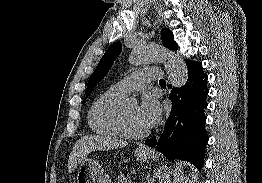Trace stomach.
<instances>
[{
	"instance_id": "0dacf381",
	"label": "stomach",
	"mask_w": 262,
	"mask_h": 183,
	"mask_svg": "<svg viewBox=\"0 0 262 183\" xmlns=\"http://www.w3.org/2000/svg\"><path fill=\"white\" fill-rule=\"evenodd\" d=\"M135 155L141 162L151 158V152L144 149L136 150ZM75 183H111V179L95 160L86 158L77 169Z\"/></svg>"
}]
</instances>
